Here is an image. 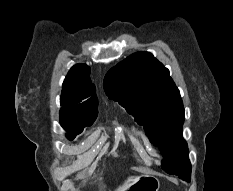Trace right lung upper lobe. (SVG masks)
Wrapping results in <instances>:
<instances>
[{
    "mask_svg": "<svg viewBox=\"0 0 233 191\" xmlns=\"http://www.w3.org/2000/svg\"><path fill=\"white\" fill-rule=\"evenodd\" d=\"M96 88L91 83L90 68L77 64L68 72L63 82L60 113L71 116H88L98 114Z\"/></svg>",
    "mask_w": 233,
    "mask_h": 191,
    "instance_id": "1",
    "label": "right lung upper lobe"
}]
</instances>
